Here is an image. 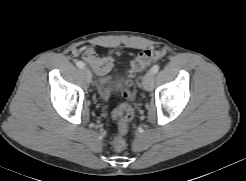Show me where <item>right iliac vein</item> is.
I'll use <instances>...</instances> for the list:
<instances>
[{
    "instance_id": "1",
    "label": "right iliac vein",
    "mask_w": 246,
    "mask_h": 181,
    "mask_svg": "<svg viewBox=\"0 0 246 181\" xmlns=\"http://www.w3.org/2000/svg\"><path fill=\"white\" fill-rule=\"evenodd\" d=\"M82 72L86 75V77L91 80L92 74L88 68H82Z\"/></svg>"
}]
</instances>
